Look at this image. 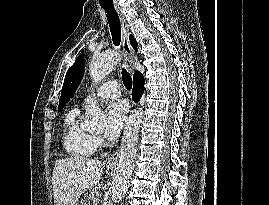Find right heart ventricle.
Listing matches in <instances>:
<instances>
[{
  "label": "right heart ventricle",
  "instance_id": "obj_1",
  "mask_svg": "<svg viewBox=\"0 0 269 205\" xmlns=\"http://www.w3.org/2000/svg\"><path fill=\"white\" fill-rule=\"evenodd\" d=\"M80 111L72 109L64 121L63 146L68 155L85 159L96 151L94 136L85 130L79 122Z\"/></svg>",
  "mask_w": 269,
  "mask_h": 205
}]
</instances>
